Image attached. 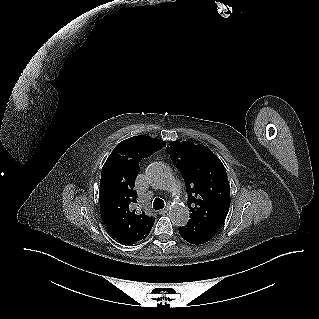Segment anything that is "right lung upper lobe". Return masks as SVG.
I'll return each instance as SVG.
<instances>
[{
	"label": "right lung upper lobe",
	"instance_id": "cb5924a9",
	"mask_svg": "<svg viewBox=\"0 0 319 319\" xmlns=\"http://www.w3.org/2000/svg\"><path fill=\"white\" fill-rule=\"evenodd\" d=\"M148 136H134L120 142L106 160L101 173L100 212L110 233L120 242L134 244L151 231L155 218L133 210L136 203L134 180L139 162L165 146Z\"/></svg>",
	"mask_w": 319,
	"mask_h": 319
}]
</instances>
